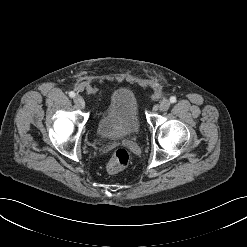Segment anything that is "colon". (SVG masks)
I'll use <instances>...</instances> for the list:
<instances>
[{
  "label": "colon",
  "instance_id": "colon-1",
  "mask_svg": "<svg viewBox=\"0 0 247 247\" xmlns=\"http://www.w3.org/2000/svg\"><path fill=\"white\" fill-rule=\"evenodd\" d=\"M130 163V155L124 148L116 149L106 163V170L115 174L125 169Z\"/></svg>",
  "mask_w": 247,
  "mask_h": 247
}]
</instances>
